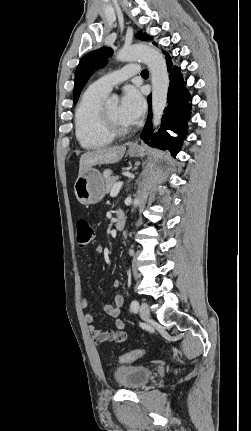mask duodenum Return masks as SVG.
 <instances>
[{"label":"duodenum","mask_w":251,"mask_h":431,"mask_svg":"<svg viewBox=\"0 0 251 431\" xmlns=\"http://www.w3.org/2000/svg\"><path fill=\"white\" fill-rule=\"evenodd\" d=\"M117 230H122L125 226V215L122 211L116 212V223H115Z\"/></svg>","instance_id":"410a0bca"}]
</instances>
